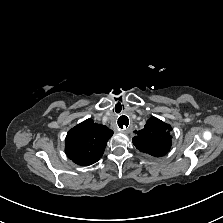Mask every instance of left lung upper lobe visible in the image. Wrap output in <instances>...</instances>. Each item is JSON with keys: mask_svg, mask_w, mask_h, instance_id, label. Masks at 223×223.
<instances>
[{"mask_svg": "<svg viewBox=\"0 0 223 223\" xmlns=\"http://www.w3.org/2000/svg\"><path fill=\"white\" fill-rule=\"evenodd\" d=\"M171 126L155 117L150 118L144 128L136 132L133 143L143 153L161 157L167 154L172 143Z\"/></svg>", "mask_w": 223, "mask_h": 223, "instance_id": "left-lung-upper-lobe-1", "label": "left lung upper lobe"}]
</instances>
